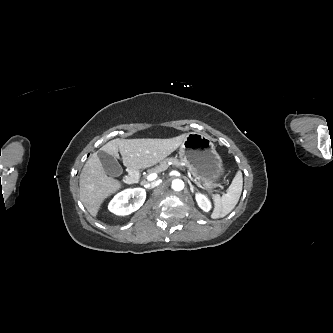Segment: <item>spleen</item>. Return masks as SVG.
Masks as SVG:
<instances>
[{"label":"spleen","instance_id":"3e777b00","mask_svg":"<svg viewBox=\"0 0 333 333\" xmlns=\"http://www.w3.org/2000/svg\"><path fill=\"white\" fill-rule=\"evenodd\" d=\"M242 186V173L238 171L226 194L222 196L218 194L213 195L214 209L211 214L212 219L223 218L236 207L242 193Z\"/></svg>","mask_w":333,"mask_h":333}]
</instances>
